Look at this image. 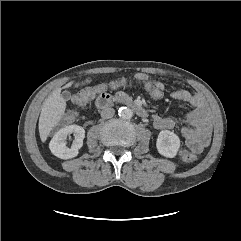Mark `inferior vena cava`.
Masks as SVG:
<instances>
[{
    "instance_id": "602c4592",
    "label": "inferior vena cava",
    "mask_w": 241,
    "mask_h": 241,
    "mask_svg": "<svg viewBox=\"0 0 241 241\" xmlns=\"http://www.w3.org/2000/svg\"><path fill=\"white\" fill-rule=\"evenodd\" d=\"M115 114V110L112 107H105L101 111V117L104 119L112 118Z\"/></svg>"
}]
</instances>
